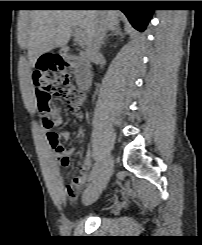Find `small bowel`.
<instances>
[{
  "label": "small bowel",
  "instance_id": "c3829d8e",
  "mask_svg": "<svg viewBox=\"0 0 202 245\" xmlns=\"http://www.w3.org/2000/svg\"><path fill=\"white\" fill-rule=\"evenodd\" d=\"M81 101H84V98H81ZM51 114L54 118L51 126H44L46 131V136L48 140V136L51 132H55L57 127H60L62 124V118L60 114V110L57 107H54L51 111ZM58 138H62L64 140H69L71 138V134L68 131L62 132L58 134ZM49 142V141H48ZM75 152V148L69 150H61L55 151V163L57 167L64 169L67 168L70 164V159ZM95 174L94 169L92 168V151L89 148L84 156L83 160V169L79 176L75 177L68 183L64 190L68 197L73 198L77 195L78 191L86 184V182L91 179ZM60 177L64 181H68L70 178V173L67 171H61ZM70 187H73V190H70Z\"/></svg>",
  "mask_w": 202,
  "mask_h": 245
}]
</instances>
